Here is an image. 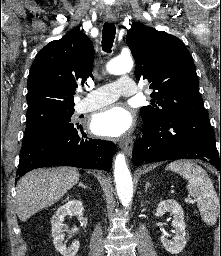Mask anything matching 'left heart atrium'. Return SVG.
I'll return each instance as SVG.
<instances>
[{"label":"left heart atrium","instance_id":"1","mask_svg":"<svg viewBox=\"0 0 221 256\" xmlns=\"http://www.w3.org/2000/svg\"><path fill=\"white\" fill-rule=\"evenodd\" d=\"M133 124L131 113L116 104L102 109L91 120L92 131L101 136L118 137L128 132Z\"/></svg>","mask_w":221,"mask_h":256}]
</instances>
